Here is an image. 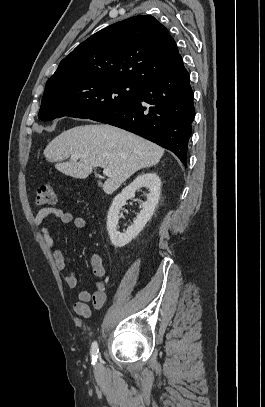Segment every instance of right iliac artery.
<instances>
[{
	"label": "right iliac artery",
	"instance_id": "right-iliac-artery-1",
	"mask_svg": "<svg viewBox=\"0 0 265 407\" xmlns=\"http://www.w3.org/2000/svg\"><path fill=\"white\" fill-rule=\"evenodd\" d=\"M99 348L96 341L93 342L91 347L92 364L95 365L98 358Z\"/></svg>",
	"mask_w": 265,
	"mask_h": 407
}]
</instances>
